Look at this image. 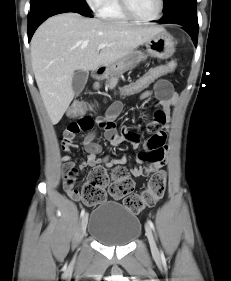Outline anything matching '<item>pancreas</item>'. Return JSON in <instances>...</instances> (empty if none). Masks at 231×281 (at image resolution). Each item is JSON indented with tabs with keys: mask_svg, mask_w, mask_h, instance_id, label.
I'll use <instances>...</instances> for the list:
<instances>
[{
	"mask_svg": "<svg viewBox=\"0 0 231 281\" xmlns=\"http://www.w3.org/2000/svg\"><path fill=\"white\" fill-rule=\"evenodd\" d=\"M118 74H119V73H110V72H108V73L105 75V78H108V76L111 77L110 80H109V85H108V87H109L110 89H113V88L116 86V84L118 83ZM98 87H99V84L96 83V84H95V88H98Z\"/></svg>",
	"mask_w": 231,
	"mask_h": 281,
	"instance_id": "cf45deb5",
	"label": "pancreas"
}]
</instances>
